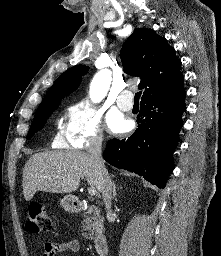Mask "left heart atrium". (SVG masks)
Masks as SVG:
<instances>
[{"instance_id": "left-heart-atrium-1", "label": "left heart atrium", "mask_w": 221, "mask_h": 256, "mask_svg": "<svg viewBox=\"0 0 221 256\" xmlns=\"http://www.w3.org/2000/svg\"><path fill=\"white\" fill-rule=\"evenodd\" d=\"M109 130L113 133H119L127 128V121L117 112H110L106 119Z\"/></svg>"}]
</instances>
